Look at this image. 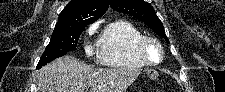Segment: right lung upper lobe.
Masks as SVG:
<instances>
[{"label":"right lung upper lobe","instance_id":"right-lung-upper-lobe-1","mask_svg":"<svg viewBox=\"0 0 225 92\" xmlns=\"http://www.w3.org/2000/svg\"><path fill=\"white\" fill-rule=\"evenodd\" d=\"M108 0H71L60 13L56 28L74 27L76 24H91L104 15Z\"/></svg>","mask_w":225,"mask_h":92}]
</instances>
